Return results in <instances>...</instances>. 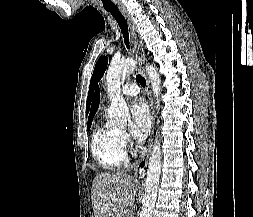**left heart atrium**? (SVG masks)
Masks as SVG:
<instances>
[{
    "instance_id": "1",
    "label": "left heart atrium",
    "mask_w": 253,
    "mask_h": 217,
    "mask_svg": "<svg viewBox=\"0 0 253 217\" xmlns=\"http://www.w3.org/2000/svg\"><path fill=\"white\" fill-rule=\"evenodd\" d=\"M151 126L150 114L143 101H137L131 108L130 130L132 135L141 140L147 136Z\"/></svg>"
}]
</instances>
